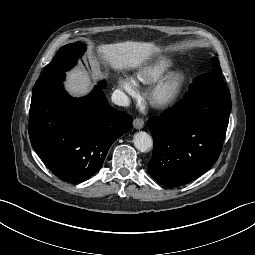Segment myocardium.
<instances>
[{
    "label": "myocardium",
    "mask_w": 255,
    "mask_h": 255,
    "mask_svg": "<svg viewBox=\"0 0 255 255\" xmlns=\"http://www.w3.org/2000/svg\"><path fill=\"white\" fill-rule=\"evenodd\" d=\"M184 85L185 75L181 71H169L153 83L146 94V100L152 108H168L178 100Z\"/></svg>",
    "instance_id": "obj_1"
}]
</instances>
